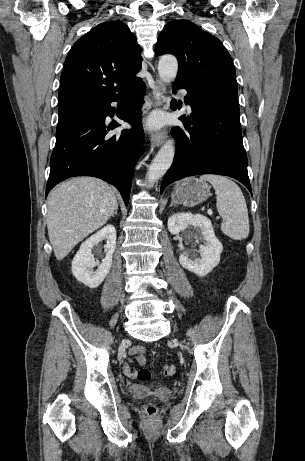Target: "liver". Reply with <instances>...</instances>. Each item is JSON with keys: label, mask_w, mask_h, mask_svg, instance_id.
Wrapping results in <instances>:
<instances>
[{"label": "liver", "mask_w": 305, "mask_h": 461, "mask_svg": "<svg viewBox=\"0 0 305 461\" xmlns=\"http://www.w3.org/2000/svg\"><path fill=\"white\" fill-rule=\"evenodd\" d=\"M117 199L111 187L97 178H73L57 186L48 200L47 228L57 260L113 214Z\"/></svg>", "instance_id": "liver-1"}]
</instances>
